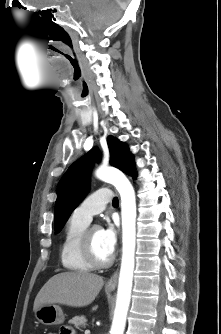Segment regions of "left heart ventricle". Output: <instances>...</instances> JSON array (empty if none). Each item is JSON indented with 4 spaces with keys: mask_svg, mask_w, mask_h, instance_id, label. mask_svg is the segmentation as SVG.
Here are the masks:
<instances>
[{
    "mask_svg": "<svg viewBox=\"0 0 221 334\" xmlns=\"http://www.w3.org/2000/svg\"><path fill=\"white\" fill-rule=\"evenodd\" d=\"M92 240H93L94 250L97 256L100 259H107L112 252H110L103 244L101 229L95 228L92 231Z\"/></svg>",
    "mask_w": 221,
    "mask_h": 334,
    "instance_id": "1",
    "label": "left heart ventricle"
}]
</instances>
